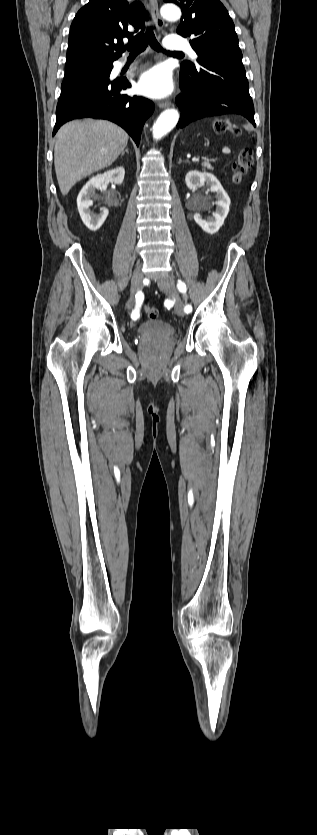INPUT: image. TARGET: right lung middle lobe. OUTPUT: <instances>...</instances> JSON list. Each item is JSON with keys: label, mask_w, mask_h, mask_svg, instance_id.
Listing matches in <instances>:
<instances>
[{"label": "right lung middle lobe", "mask_w": 317, "mask_h": 835, "mask_svg": "<svg viewBox=\"0 0 317 835\" xmlns=\"http://www.w3.org/2000/svg\"><path fill=\"white\" fill-rule=\"evenodd\" d=\"M112 62L103 58H93L83 61L77 68L65 67V77L61 87L66 88L80 83L96 81L109 76Z\"/></svg>", "instance_id": "1"}]
</instances>
